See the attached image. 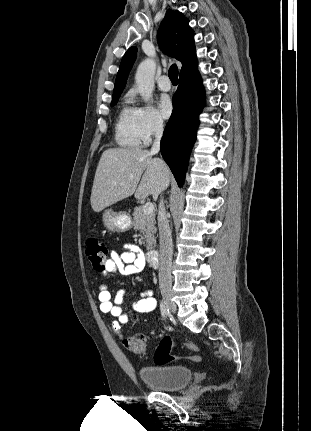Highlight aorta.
<instances>
[{
    "label": "aorta",
    "mask_w": 311,
    "mask_h": 431,
    "mask_svg": "<svg viewBox=\"0 0 311 431\" xmlns=\"http://www.w3.org/2000/svg\"><path fill=\"white\" fill-rule=\"evenodd\" d=\"M155 72V60H151V58L143 60L137 68L135 82L137 84V90L144 102H149L150 98H152Z\"/></svg>",
    "instance_id": "aorta-1"
}]
</instances>
